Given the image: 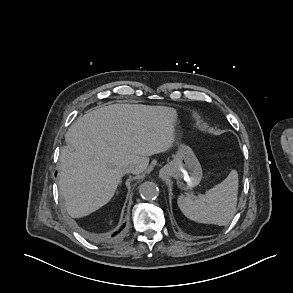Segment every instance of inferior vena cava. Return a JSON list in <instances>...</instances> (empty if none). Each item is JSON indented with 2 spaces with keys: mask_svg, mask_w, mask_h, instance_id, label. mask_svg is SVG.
Returning <instances> with one entry per match:
<instances>
[{
  "mask_svg": "<svg viewBox=\"0 0 293 293\" xmlns=\"http://www.w3.org/2000/svg\"><path fill=\"white\" fill-rule=\"evenodd\" d=\"M137 171V168L133 167V166H130L129 168H127V172L128 173H134Z\"/></svg>",
  "mask_w": 293,
  "mask_h": 293,
  "instance_id": "inferior-vena-cava-1",
  "label": "inferior vena cava"
}]
</instances>
